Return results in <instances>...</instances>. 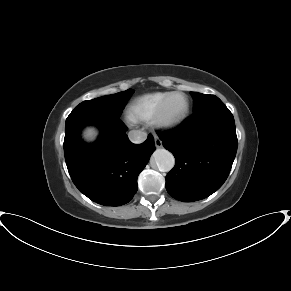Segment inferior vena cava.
I'll return each mask as SVG.
<instances>
[{
	"label": "inferior vena cava",
	"instance_id": "obj_1",
	"mask_svg": "<svg viewBox=\"0 0 291 291\" xmlns=\"http://www.w3.org/2000/svg\"><path fill=\"white\" fill-rule=\"evenodd\" d=\"M128 137L132 143L139 144L146 140L147 133L141 130H132L128 133Z\"/></svg>",
	"mask_w": 291,
	"mask_h": 291
}]
</instances>
